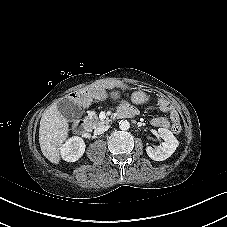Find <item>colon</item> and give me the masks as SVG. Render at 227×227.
Returning a JSON list of instances; mask_svg holds the SVG:
<instances>
[{"label": "colon", "instance_id": "5ec220e1", "mask_svg": "<svg viewBox=\"0 0 227 227\" xmlns=\"http://www.w3.org/2000/svg\"><path fill=\"white\" fill-rule=\"evenodd\" d=\"M174 132L178 133L180 131V126H175L173 128Z\"/></svg>", "mask_w": 227, "mask_h": 227}]
</instances>
